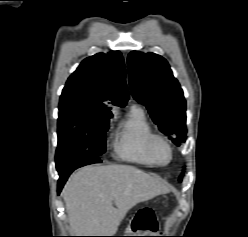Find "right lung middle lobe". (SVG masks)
I'll list each match as a JSON object with an SVG mask.
<instances>
[{
	"mask_svg": "<svg viewBox=\"0 0 248 237\" xmlns=\"http://www.w3.org/2000/svg\"><path fill=\"white\" fill-rule=\"evenodd\" d=\"M112 115H98L81 107L59 104L57 155L87 153L100 156Z\"/></svg>",
	"mask_w": 248,
	"mask_h": 237,
	"instance_id": "obj_1",
	"label": "right lung middle lobe"
}]
</instances>
